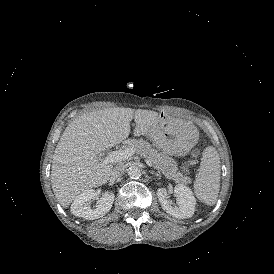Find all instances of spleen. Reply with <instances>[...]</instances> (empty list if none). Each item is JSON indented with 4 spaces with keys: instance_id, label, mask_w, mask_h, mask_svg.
Here are the masks:
<instances>
[{
    "instance_id": "1",
    "label": "spleen",
    "mask_w": 274,
    "mask_h": 274,
    "mask_svg": "<svg viewBox=\"0 0 274 274\" xmlns=\"http://www.w3.org/2000/svg\"><path fill=\"white\" fill-rule=\"evenodd\" d=\"M199 137V134H198ZM220 157L214 146H207L193 183L196 198L207 206H213L218 198L220 184Z\"/></svg>"
}]
</instances>
